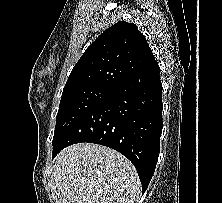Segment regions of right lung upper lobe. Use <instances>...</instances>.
<instances>
[{
    "label": "right lung upper lobe",
    "mask_w": 222,
    "mask_h": 203,
    "mask_svg": "<svg viewBox=\"0 0 222 203\" xmlns=\"http://www.w3.org/2000/svg\"><path fill=\"white\" fill-rule=\"evenodd\" d=\"M156 62L145 36L133 23L117 22L86 49L64 89H115L133 74Z\"/></svg>",
    "instance_id": "cb5924a9"
}]
</instances>
